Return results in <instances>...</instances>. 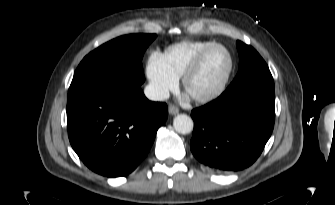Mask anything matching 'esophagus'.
I'll return each mask as SVG.
<instances>
[{"mask_svg":"<svg viewBox=\"0 0 335 205\" xmlns=\"http://www.w3.org/2000/svg\"><path fill=\"white\" fill-rule=\"evenodd\" d=\"M168 111L170 115H176L179 113V109L174 105H169Z\"/></svg>","mask_w":335,"mask_h":205,"instance_id":"1","label":"esophagus"}]
</instances>
